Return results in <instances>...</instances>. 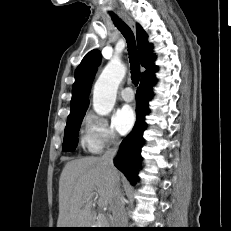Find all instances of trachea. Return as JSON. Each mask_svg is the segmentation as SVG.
I'll return each mask as SVG.
<instances>
[{
	"label": "trachea",
	"instance_id": "obj_1",
	"mask_svg": "<svg viewBox=\"0 0 231 231\" xmlns=\"http://www.w3.org/2000/svg\"><path fill=\"white\" fill-rule=\"evenodd\" d=\"M114 25L125 37L128 47V55L131 69V79L132 82L137 85L140 80V64L138 60L136 41L134 34L130 27L122 21L117 15L110 13Z\"/></svg>",
	"mask_w": 231,
	"mask_h": 231
}]
</instances>
